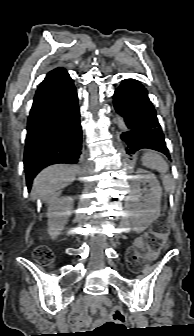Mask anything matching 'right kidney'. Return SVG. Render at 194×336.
I'll list each match as a JSON object with an SVG mask.
<instances>
[{
  "mask_svg": "<svg viewBox=\"0 0 194 336\" xmlns=\"http://www.w3.org/2000/svg\"><path fill=\"white\" fill-rule=\"evenodd\" d=\"M73 207V198L61 197L52 199L49 202L48 217V233L52 239H55L71 215Z\"/></svg>",
  "mask_w": 194,
  "mask_h": 336,
  "instance_id": "right-kidney-1",
  "label": "right kidney"
}]
</instances>
